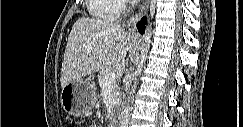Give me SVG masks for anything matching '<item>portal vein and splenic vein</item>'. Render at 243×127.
Returning <instances> with one entry per match:
<instances>
[{
	"label": "portal vein and splenic vein",
	"instance_id": "18ae733b",
	"mask_svg": "<svg viewBox=\"0 0 243 127\" xmlns=\"http://www.w3.org/2000/svg\"><path fill=\"white\" fill-rule=\"evenodd\" d=\"M119 76V71L118 70H114L110 73H108L104 78H103V88H106L108 86H110L115 79Z\"/></svg>",
	"mask_w": 243,
	"mask_h": 127
}]
</instances>
